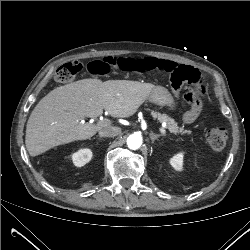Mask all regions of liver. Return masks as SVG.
Returning <instances> with one entry per match:
<instances>
[{
	"instance_id": "6515ba94",
	"label": "liver",
	"mask_w": 250,
	"mask_h": 250,
	"mask_svg": "<svg viewBox=\"0 0 250 250\" xmlns=\"http://www.w3.org/2000/svg\"><path fill=\"white\" fill-rule=\"evenodd\" d=\"M155 85L129 80L82 79L60 86L43 97L26 126L25 144L31 156L66 143L91 138L110 126L82 123L103 110L113 117L134 115Z\"/></svg>"
}]
</instances>
